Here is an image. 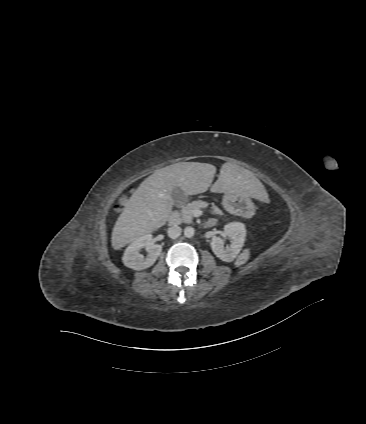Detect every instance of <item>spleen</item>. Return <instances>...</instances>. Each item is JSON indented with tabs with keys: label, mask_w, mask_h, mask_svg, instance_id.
I'll return each instance as SVG.
<instances>
[{
	"label": "spleen",
	"mask_w": 366,
	"mask_h": 424,
	"mask_svg": "<svg viewBox=\"0 0 366 424\" xmlns=\"http://www.w3.org/2000/svg\"><path fill=\"white\" fill-rule=\"evenodd\" d=\"M250 256V252L248 249L244 250L243 253L240 254V256L238 257L237 261H236V266H241L243 264H245Z\"/></svg>",
	"instance_id": "spleen-1"
}]
</instances>
